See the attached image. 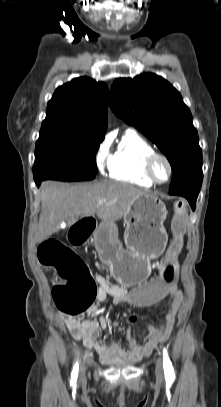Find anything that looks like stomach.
I'll return each mask as SVG.
<instances>
[{
  "mask_svg": "<svg viewBox=\"0 0 221 407\" xmlns=\"http://www.w3.org/2000/svg\"><path fill=\"white\" fill-rule=\"evenodd\" d=\"M167 209L162 200L151 194L134 198L124 223L126 248L113 251L110 268L116 280L131 285L144 281L150 271V260L160 257L167 244L164 220ZM101 228L110 229L111 224L102 223Z\"/></svg>",
  "mask_w": 221,
  "mask_h": 407,
  "instance_id": "obj_1",
  "label": "stomach"
}]
</instances>
